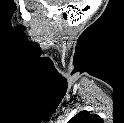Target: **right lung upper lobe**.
<instances>
[{
    "label": "right lung upper lobe",
    "mask_w": 124,
    "mask_h": 123,
    "mask_svg": "<svg viewBox=\"0 0 124 123\" xmlns=\"http://www.w3.org/2000/svg\"><path fill=\"white\" fill-rule=\"evenodd\" d=\"M96 121H102L98 115L91 114L88 111H81L71 118L68 123H93Z\"/></svg>",
    "instance_id": "obj_1"
}]
</instances>
